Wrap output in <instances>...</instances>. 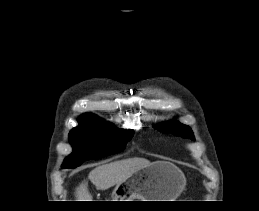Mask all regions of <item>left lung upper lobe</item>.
<instances>
[{
	"label": "left lung upper lobe",
	"instance_id": "obj_1",
	"mask_svg": "<svg viewBox=\"0 0 259 211\" xmlns=\"http://www.w3.org/2000/svg\"><path fill=\"white\" fill-rule=\"evenodd\" d=\"M155 128L158 129L159 131H163L165 133L170 132V133L194 140V135H193L191 128L189 126L181 124L177 121L163 123L159 126H155Z\"/></svg>",
	"mask_w": 259,
	"mask_h": 211
}]
</instances>
